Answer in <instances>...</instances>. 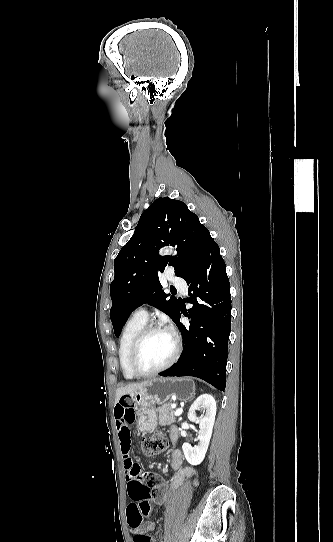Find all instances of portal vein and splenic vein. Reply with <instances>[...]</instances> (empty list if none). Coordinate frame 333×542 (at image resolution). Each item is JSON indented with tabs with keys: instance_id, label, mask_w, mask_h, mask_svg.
Returning a JSON list of instances; mask_svg holds the SVG:
<instances>
[{
	"instance_id": "portal-vein-and-splenic-vein-1",
	"label": "portal vein and splenic vein",
	"mask_w": 333,
	"mask_h": 542,
	"mask_svg": "<svg viewBox=\"0 0 333 542\" xmlns=\"http://www.w3.org/2000/svg\"><path fill=\"white\" fill-rule=\"evenodd\" d=\"M183 410H181V408H179V410H176V412H174V416H180V414H182Z\"/></svg>"
}]
</instances>
